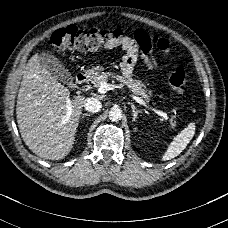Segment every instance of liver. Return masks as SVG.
Instances as JSON below:
<instances>
[{
  "instance_id": "liver-1",
  "label": "liver",
  "mask_w": 228,
  "mask_h": 228,
  "mask_svg": "<svg viewBox=\"0 0 228 228\" xmlns=\"http://www.w3.org/2000/svg\"><path fill=\"white\" fill-rule=\"evenodd\" d=\"M85 97H69L66 87L34 54L26 67L17 97L16 117L22 139L35 155L62 160L74 148ZM68 108L71 115L66 117Z\"/></svg>"
}]
</instances>
